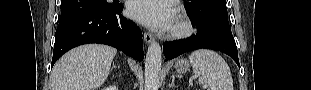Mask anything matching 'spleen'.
Listing matches in <instances>:
<instances>
[{"mask_svg":"<svg viewBox=\"0 0 311 90\" xmlns=\"http://www.w3.org/2000/svg\"><path fill=\"white\" fill-rule=\"evenodd\" d=\"M193 72L208 90H233V80L226 61L216 52L196 50L189 56Z\"/></svg>","mask_w":311,"mask_h":90,"instance_id":"3e777b00","label":"spleen"}]
</instances>
